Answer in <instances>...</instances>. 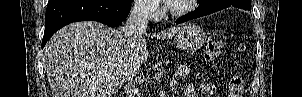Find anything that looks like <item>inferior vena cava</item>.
I'll use <instances>...</instances> for the list:
<instances>
[{
	"mask_svg": "<svg viewBox=\"0 0 302 97\" xmlns=\"http://www.w3.org/2000/svg\"><path fill=\"white\" fill-rule=\"evenodd\" d=\"M151 12V3L148 0L136 1L130 15L122 27V32L125 36H130L132 40L146 34L148 19ZM134 73L130 71L126 78L127 85L125 93L127 97H141L140 90L133 84Z\"/></svg>",
	"mask_w": 302,
	"mask_h": 97,
	"instance_id": "602c4592",
	"label": "inferior vena cava"
}]
</instances>
